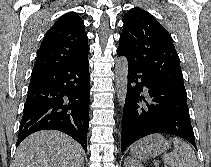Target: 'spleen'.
Wrapping results in <instances>:
<instances>
[{"label": "spleen", "mask_w": 211, "mask_h": 167, "mask_svg": "<svg viewBox=\"0 0 211 167\" xmlns=\"http://www.w3.org/2000/svg\"><path fill=\"white\" fill-rule=\"evenodd\" d=\"M175 150L163 156L165 167H198L192 147L179 138H173Z\"/></svg>", "instance_id": "obj_1"}]
</instances>
